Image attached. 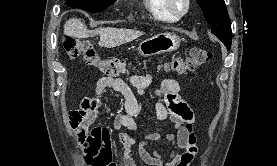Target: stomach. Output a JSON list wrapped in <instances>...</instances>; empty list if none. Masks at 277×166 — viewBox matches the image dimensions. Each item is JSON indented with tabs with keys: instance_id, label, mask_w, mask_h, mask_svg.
<instances>
[{
	"instance_id": "1",
	"label": "stomach",
	"mask_w": 277,
	"mask_h": 166,
	"mask_svg": "<svg viewBox=\"0 0 277 166\" xmlns=\"http://www.w3.org/2000/svg\"><path fill=\"white\" fill-rule=\"evenodd\" d=\"M180 45V38L174 33H159L144 41L139 45V53L143 57L171 52L176 50Z\"/></svg>"
}]
</instances>
